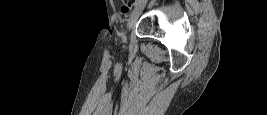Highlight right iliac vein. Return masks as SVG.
Masks as SVG:
<instances>
[{
    "instance_id": "right-iliac-vein-1",
    "label": "right iliac vein",
    "mask_w": 267,
    "mask_h": 115,
    "mask_svg": "<svg viewBox=\"0 0 267 115\" xmlns=\"http://www.w3.org/2000/svg\"><path fill=\"white\" fill-rule=\"evenodd\" d=\"M144 7H145V3L140 2L139 5L133 10L131 19L127 25V31H130L132 29L134 23L138 20L139 15L141 14Z\"/></svg>"
}]
</instances>
